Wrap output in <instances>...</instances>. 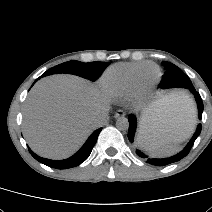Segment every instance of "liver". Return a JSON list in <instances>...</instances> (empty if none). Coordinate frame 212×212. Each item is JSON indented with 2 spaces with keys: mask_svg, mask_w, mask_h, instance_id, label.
<instances>
[{
  "mask_svg": "<svg viewBox=\"0 0 212 212\" xmlns=\"http://www.w3.org/2000/svg\"><path fill=\"white\" fill-rule=\"evenodd\" d=\"M109 101L97 87L71 75H54L37 82L23 109V133L39 155L64 159L74 154L96 128L93 118L107 113ZM145 128L185 139L193 130L195 112L172 94L145 110Z\"/></svg>",
  "mask_w": 212,
  "mask_h": 212,
  "instance_id": "1",
  "label": "liver"
}]
</instances>
